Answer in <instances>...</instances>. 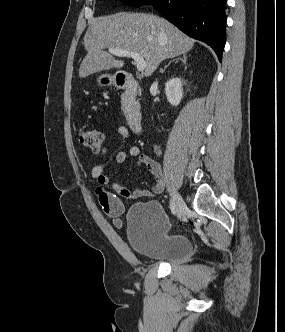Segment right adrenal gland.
<instances>
[{
	"label": "right adrenal gland",
	"mask_w": 285,
	"mask_h": 332,
	"mask_svg": "<svg viewBox=\"0 0 285 332\" xmlns=\"http://www.w3.org/2000/svg\"><path fill=\"white\" fill-rule=\"evenodd\" d=\"M174 61H181L184 65H186V63H187V56L186 55H183L182 57H180V58H177V59H174V60H172V61H170L169 63H168V65H166L165 67H164V69H161L160 70V73H164V71L166 70V68L172 63V62H174Z\"/></svg>",
	"instance_id": "right-adrenal-gland-1"
}]
</instances>
